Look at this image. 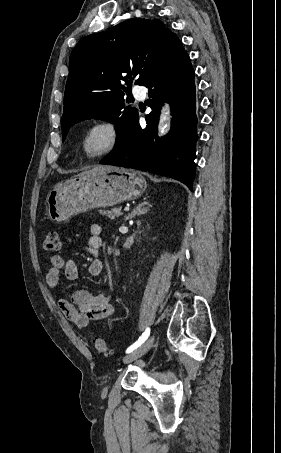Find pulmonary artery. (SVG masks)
Listing matches in <instances>:
<instances>
[{
  "mask_svg": "<svg viewBox=\"0 0 281 453\" xmlns=\"http://www.w3.org/2000/svg\"><path fill=\"white\" fill-rule=\"evenodd\" d=\"M133 95L138 100H144L146 97V90L143 89L133 90Z\"/></svg>",
  "mask_w": 281,
  "mask_h": 453,
  "instance_id": "1",
  "label": "pulmonary artery"
}]
</instances>
